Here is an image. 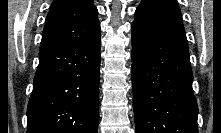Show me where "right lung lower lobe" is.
<instances>
[{
	"label": "right lung lower lobe",
	"mask_w": 221,
	"mask_h": 133,
	"mask_svg": "<svg viewBox=\"0 0 221 133\" xmlns=\"http://www.w3.org/2000/svg\"><path fill=\"white\" fill-rule=\"evenodd\" d=\"M100 30L80 45L40 49L27 133H98Z\"/></svg>",
	"instance_id": "98d812e1"
}]
</instances>
